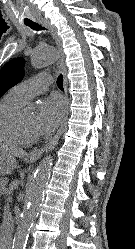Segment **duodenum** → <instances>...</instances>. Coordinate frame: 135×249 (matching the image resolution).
<instances>
[{
	"instance_id": "410a0bca",
	"label": "duodenum",
	"mask_w": 135,
	"mask_h": 249,
	"mask_svg": "<svg viewBox=\"0 0 135 249\" xmlns=\"http://www.w3.org/2000/svg\"><path fill=\"white\" fill-rule=\"evenodd\" d=\"M12 241L7 236L0 237V248L2 249H11Z\"/></svg>"
}]
</instances>
